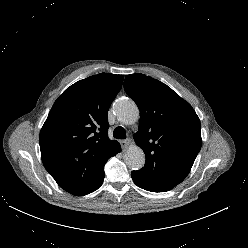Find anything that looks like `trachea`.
Segmentation results:
<instances>
[{"label":"trachea","instance_id":"obj_1","mask_svg":"<svg viewBox=\"0 0 248 248\" xmlns=\"http://www.w3.org/2000/svg\"><path fill=\"white\" fill-rule=\"evenodd\" d=\"M113 136L117 139H126V131L123 127L118 126L114 129Z\"/></svg>","mask_w":248,"mask_h":248}]
</instances>
